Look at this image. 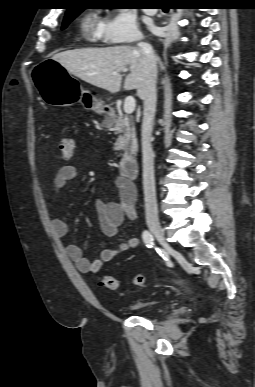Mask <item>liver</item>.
<instances>
[{
    "label": "liver",
    "mask_w": 255,
    "mask_h": 387,
    "mask_svg": "<svg viewBox=\"0 0 255 387\" xmlns=\"http://www.w3.org/2000/svg\"><path fill=\"white\" fill-rule=\"evenodd\" d=\"M143 53L131 46L74 49L55 54L52 59L69 73L81 80L117 93L121 89L122 71L130 73L124 81V89L142 88L144 84Z\"/></svg>",
    "instance_id": "6515ba94"
}]
</instances>
